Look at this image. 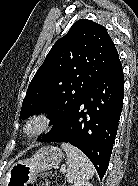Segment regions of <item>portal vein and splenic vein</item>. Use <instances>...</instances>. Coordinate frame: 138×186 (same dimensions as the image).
<instances>
[{"label": "portal vein and splenic vein", "instance_id": "18ae733b", "mask_svg": "<svg viewBox=\"0 0 138 186\" xmlns=\"http://www.w3.org/2000/svg\"><path fill=\"white\" fill-rule=\"evenodd\" d=\"M60 171H61L62 173H65V172H66V169H65V168H61Z\"/></svg>", "mask_w": 138, "mask_h": 186}]
</instances>
